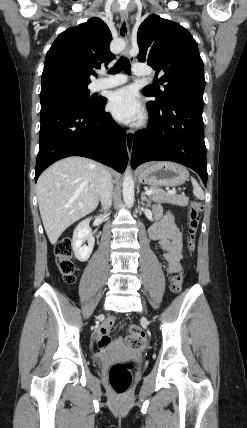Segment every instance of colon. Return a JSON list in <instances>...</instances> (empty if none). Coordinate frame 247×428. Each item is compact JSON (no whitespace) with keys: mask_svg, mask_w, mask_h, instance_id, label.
<instances>
[{"mask_svg":"<svg viewBox=\"0 0 247 428\" xmlns=\"http://www.w3.org/2000/svg\"><path fill=\"white\" fill-rule=\"evenodd\" d=\"M203 206L198 201H193L190 204L187 216V249L189 252H193L195 249V236L197 233L200 213ZM55 259L56 265L67 283H72L75 279L76 265L73 260V246L70 238H62L55 248ZM183 274L177 272L171 277V289L173 292L178 293L182 289ZM115 318L108 317L101 327L102 337L99 341V345L105 348L110 343L108 336L109 330L114 326ZM146 343L145 334L140 327L131 325L129 327L128 336L126 337V344L134 349L141 350L144 348ZM131 365L128 363H117L113 365L109 370V381L112 389L115 393L122 395L130 387L132 382V371Z\"/></svg>","mask_w":247,"mask_h":428,"instance_id":"obj_1","label":"colon"}]
</instances>
